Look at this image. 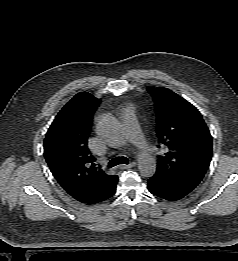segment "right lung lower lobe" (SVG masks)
<instances>
[{"mask_svg": "<svg viewBox=\"0 0 238 261\" xmlns=\"http://www.w3.org/2000/svg\"><path fill=\"white\" fill-rule=\"evenodd\" d=\"M118 180V179H117ZM117 180L114 181L110 187L100 196H98L91 204H95V203H99L102 202L104 200H107L108 198H110L112 195H114L115 191H116V184H117Z\"/></svg>", "mask_w": 238, "mask_h": 261, "instance_id": "obj_1", "label": "right lung lower lobe"}]
</instances>
